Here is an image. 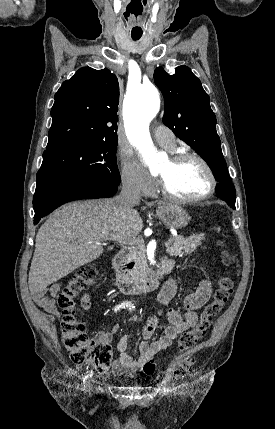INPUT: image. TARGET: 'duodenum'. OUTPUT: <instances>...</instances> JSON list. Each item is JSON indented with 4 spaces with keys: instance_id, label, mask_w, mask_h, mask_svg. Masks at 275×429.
Segmentation results:
<instances>
[{
    "instance_id": "410a0bca",
    "label": "duodenum",
    "mask_w": 275,
    "mask_h": 429,
    "mask_svg": "<svg viewBox=\"0 0 275 429\" xmlns=\"http://www.w3.org/2000/svg\"><path fill=\"white\" fill-rule=\"evenodd\" d=\"M130 252L121 249L113 260V268L116 273V284L118 289L125 294L155 290L165 274L169 273L172 265L169 261H161L148 275L134 277L129 273Z\"/></svg>"
}]
</instances>
